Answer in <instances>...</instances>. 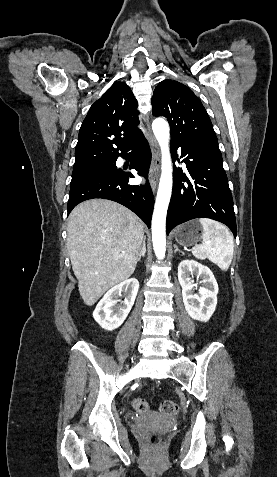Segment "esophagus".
I'll return each instance as SVG.
<instances>
[{
	"label": "esophagus",
	"mask_w": 277,
	"mask_h": 477,
	"mask_svg": "<svg viewBox=\"0 0 277 477\" xmlns=\"http://www.w3.org/2000/svg\"><path fill=\"white\" fill-rule=\"evenodd\" d=\"M150 146L152 151V161H151V169H150V185L152 191L155 192L158 185V175H159V168H160V151L159 146L151 136L150 138Z\"/></svg>",
	"instance_id": "1"
}]
</instances>
